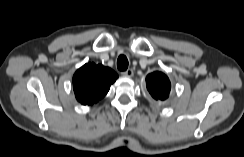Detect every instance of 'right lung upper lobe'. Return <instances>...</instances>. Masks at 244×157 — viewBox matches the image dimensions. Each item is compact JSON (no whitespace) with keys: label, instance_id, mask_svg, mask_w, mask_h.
<instances>
[{"label":"right lung upper lobe","instance_id":"cb5924a9","mask_svg":"<svg viewBox=\"0 0 244 157\" xmlns=\"http://www.w3.org/2000/svg\"><path fill=\"white\" fill-rule=\"evenodd\" d=\"M118 75L110 68L88 63L73 76L76 99L83 105H92L104 97Z\"/></svg>","mask_w":244,"mask_h":157}]
</instances>
